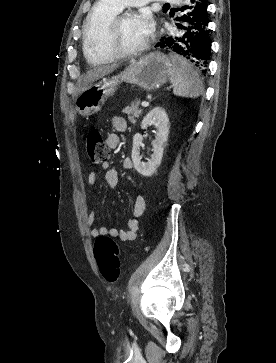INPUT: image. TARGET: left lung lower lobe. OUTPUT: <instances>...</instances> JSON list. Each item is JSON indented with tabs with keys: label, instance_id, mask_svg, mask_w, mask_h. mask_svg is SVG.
<instances>
[{
	"label": "left lung lower lobe",
	"instance_id": "1",
	"mask_svg": "<svg viewBox=\"0 0 276 363\" xmlns=\"http://www.w3.org/2000/svg\"><path fill=\"white\" fill-rule=\"evenodd\" d=\"M184 12L176 18L172 29L160 39L155 47L167 49L174 55L191 62L203 73L206 72L210 52L207 0H186Z\"/></svg>",
	"mask_w": 276,
	"mask_h": 363
}]
</instances>
